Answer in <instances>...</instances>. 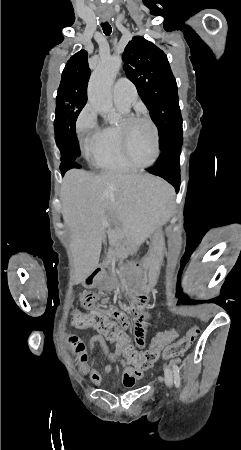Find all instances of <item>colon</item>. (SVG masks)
<instances>
[{"instance_id": "1", "label": "colon", "mask_w": 241, "mask_h": 450, "mask_svg": "<svg viewBox=\"0 0 241 450\" xmlns=\"http://www.w3.org/2000/svg\"><path fill=\"white\" fill-rule=\"evenodd\" d=\"M70 323L79 328H98L101 333L110 339L114 348L123 356L129 359L131 366H137L138 371H149L152 365V359H157L160 353L161 345H165L166 339L174 335L173 328H165L159 333L149 344V350H133V346L128 343L127 337L109 320L98 313H73L70 316ZM198 329L194 328L189 331L183 338L172 346H166L163 349L161 360L168 359V356H181L186 353L188 348L193 347L194 340L197 336Z\"/></svg>"}]
</instances>
